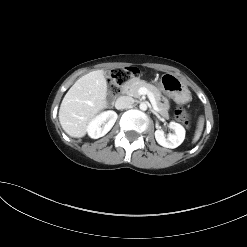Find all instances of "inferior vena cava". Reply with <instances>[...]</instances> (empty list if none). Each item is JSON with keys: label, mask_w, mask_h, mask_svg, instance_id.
Masks as SVG:
<instances>
[{"label": "inferior vena cava", "mask_w": 247, "mask_h": 247, "mask_svg": "<svg viewBox=\"0 0 247 247\" xmlns=\"http://www.w3.org/2000/svg\"><path fill=\"white\" fill-rule=\"evenodd\" d=\"M134 103V99L129 96H120L116 102H115V107L116 109H125L130 107Z\"/></svg>", "instance_id": "1"}]
</instances>
